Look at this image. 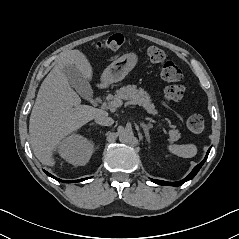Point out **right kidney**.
<instances>
[{"instance_id":"1","label":"right kidney","mask_w":239,"mask_h":239,"mask_svg":"<svg viewBox=\"0 0 239 239\" xmlns=\"http://www.w3.org/2000/svg\"><path fill=\"white\" fill-rule=\"evenodd\" d=\"M94 151L93 143L79 134H72L64 138L58 148L59 155L75 166L87 164Z\"/></svg>"}]
</instances>
